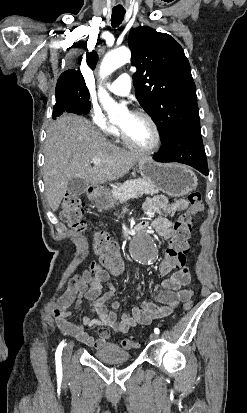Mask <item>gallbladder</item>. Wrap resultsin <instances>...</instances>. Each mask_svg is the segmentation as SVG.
<instances>
[{
	"mask_svg": "<svg viewBox=\"0 0 247 413\" xmlns=\"http://www.w3.org/2000/svg\"><path fill=\"white\" fill-rule=\"evenodd\" d=\"M87 186L88 182L85 178H71L68 182V192L70 196H79L85 192Z\"/></svg>",
	"mask_w": 247,
	"mask_h": 413,
	"instance_id": "gallbladder-1",
	"label": "gallbladder"
}]
</instances>
